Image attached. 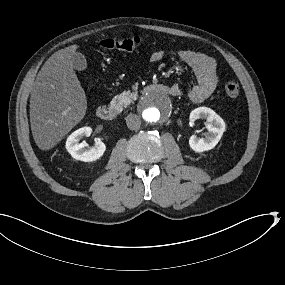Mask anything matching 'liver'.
Masks as SVG:
<instances>
[{"mask_svg": "<svg viewBox=\"0 0 285 285\" xmlns=\"http://www.w3.org/2000/svg\"><path fill=\"white\" fill-rule=\"evenodd\" d=\"M79 48L73 44L55 52L35 79L30 98V122L35 144L49 151L85 117L88 100L73 67Z\"/></svg>", "mask_w": 285, "mask_h": 285, "instance_id": "liver-1", "label": "liver"}]
</instances>
